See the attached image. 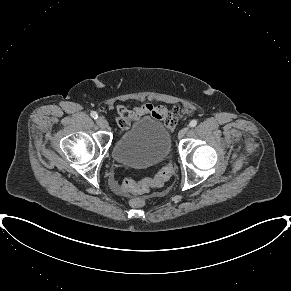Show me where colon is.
Returning <instances> with one entry per match:
<instances>
[{
    "label": "colon",
    "instance_id": "colon-1",
    "mask_svg": "<svg viewBox=\"0 0 291 291\" xmlns=\"http://www.w3.org/2000/svg\"><path fill=\"white\" fill-rule=\"evenodd\" d=\"M173 164L169 163L164 166L156 175L150 178H145L140 182L127 179L119 186L124 193L141 194L147 192L151 187L162 186L173 174ZM145 201L140 198H132L130 205L134 208H142L145 206Z\"/></svg>",
    "mask_w": 291,
    "mask_h": 291
}]
</instances>
